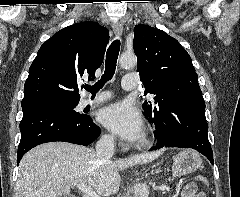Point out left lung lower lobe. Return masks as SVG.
<instances>
[{"label": "left lung lower lobe", "mask_w": 240, "mask_h": 197, "mask_svg": "<svg viewBox=\"0 0 240 197\" xmlns=\"http://www.w3.org/2000/svg\"><path fill=\"white\" fill-rule=\"evenodd\" d=\"M148 121L156 128L154 150L162 147L193 148L214 163L207 134L205 103L200 97H186L177 108L158 111Z\"/></svg>", "instance_id": "0a47b994"}]
</instances>
